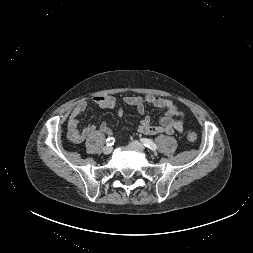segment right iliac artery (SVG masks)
<instances>
[{
  "label": "right iliac artery",
  "instance_id": "right-iliac-artery-1",
  "mask_svg": "<svg viewBox=\"0 0 253 253\" xmlns=\"http://www.w3.org/2000/svg\"><path fill=\"white\" fill-rule=\"evenodd\" d=\"M114 142H115V139L113 137H109L106 139V144L108 146H112L114 144Z\"/></svg>",
  "mask_w": 253,
  "mask_h": 253
}]
</instances>
